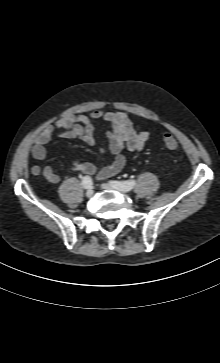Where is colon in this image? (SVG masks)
<instances>
[{
    "label": "colon",
    "instance_id": "obj_1",
    "mask_svg": "<svg viewBox=\"0 0 220 363\" xmlns=\"http://www.w3.org/2000/svg\"><path fill=\"white\" fill-rule=\"evenodd\" d=\"M163 141L168 149L174 150L178 146L177 140L170 133L164 134Z\"/></svg>",
    "mask_w": 220,
    "mask_h": 363
}]
</instances>
